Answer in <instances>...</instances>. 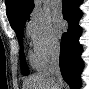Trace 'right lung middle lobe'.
Listing matches in <instances>:
<instances>
[{
	"label": "right lung middle lobe",
	"mask_w": 89,
	"mask_h": 89,
	"mask_svg": "<svg viewBox=\"0 0 89 89\" xmlns=\"http://www.w3.org/2000/svg\"><path fill=\"white\" fill-rule=\"evenodd\" d=\"M25 22L26 20L21 22L19 25L16 26L14 30L16 32V36L19 40V44L21 48L20 49V63H21L22 74L26 76L29 74V70H28V66H27L24 51H23V33H24Z\"/></svg>",
	"instance_id": "dd1d6c3e"
}]
</instances>
